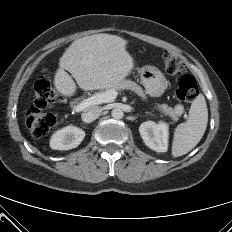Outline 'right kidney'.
Segmentation results:
<instances>
[{
  "instance_id": "right-kidney-1",
  "label": "right kidney",
  "mask_w": 232,
  "mask_h": 232,
  "mask_svg": "<svg viewBox=\"0 0 232 232\" xmlns=\"http://www.w3.org/2000/svg\"><path fill=\"white\" fill-rule=\"evenodd\" d=\"M85 137V132L76 126H67L54 133L50 140V147L55 150H69L76 148Z\"/></svg>"
}]
</instances>
